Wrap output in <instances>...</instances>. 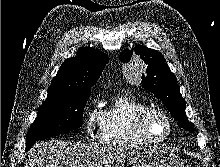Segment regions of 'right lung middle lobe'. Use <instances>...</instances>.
Returning <instances> with one entry per match:
<instances>
[{
  "instance_id": "obj_1",
  "label": "right lung middle lobe",
  "mask_w": 220,
  "mask_h": 167,
  "mask_svg": "<svg viewBox=\"0 0 220 167\" xmlns=\"http://www.w3.org/2000/svg\"><path fill=\"white\" fill-rule=\"evenodd\" d=\"M90 94L91 91L76 92L46 99L39 107L37 118L27 133L26 151L40 139L80 128Z\"/></svg>"
}]
</instances>
